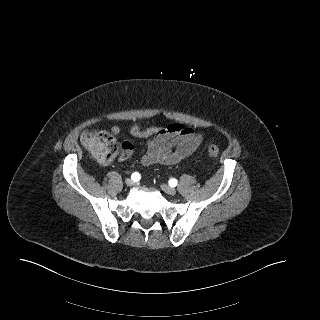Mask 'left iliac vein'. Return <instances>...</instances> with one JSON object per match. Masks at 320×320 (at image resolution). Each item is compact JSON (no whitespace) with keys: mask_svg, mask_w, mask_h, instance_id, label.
Returning <instances> with one entry per match:
<instances>
[{"mask_svg":"<svg viewBox=\"0 0 320 320\" xmlns=\"http://www.w3.org/2000/svg\"><path fill=\"white\" fill-rule=\"evenodd\" d=\"M161 189H162L165 193H167V194H169V195H175L176 192H177L175 188L170 187V186H168V185H166V184H161Z\"/></svg>","mask_w":320,"mask_h":320,"instance_id":"left-iliac-vein-1","label":"left iliac vein"}]
</instances>
